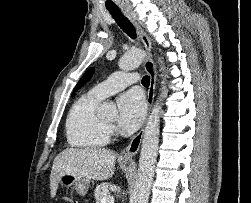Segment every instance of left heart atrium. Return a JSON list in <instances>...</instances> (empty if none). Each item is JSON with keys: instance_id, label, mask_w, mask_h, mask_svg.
I'll return each instance as SVG.
<instances>
[{"instance_id": "obj_1", "label": "left heart atrium", "mask_w": 251, "mask_h": 203, "mask_svg": "<svg viewBox=\"0 0 251 203\" xmlns=\"http://www.w3.org/2000/svg\"><path fill=\"white\" fill-rule=\"evenodd\" d=\"M119 126L126 131H135L144 121L146 102L141 93L131 90L118 98Z\"/></svg>"}]
</instances>
